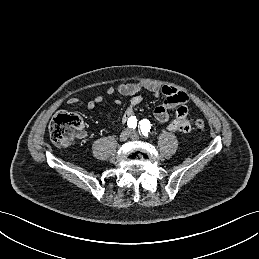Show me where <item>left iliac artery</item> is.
<instances>
[{
    "mask_svg": "<svg viewBox=\"0 0 259 259\" xmlns=\"http://www.w3.org/2000/svg\"><path fill=\"white\" fill-rule=\"evenodd\" d=\"M140 124V129H141V132L144 136H148V133L150 132V129H151V124L149 122V120L147 119H143L139 122Z\"/></svg>",
    "mask_w": 259,
    "mask_h": 259,
    "instance_id": "1",
    "label": "left iliac artery"
}]
</instances>
